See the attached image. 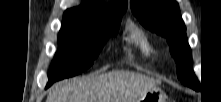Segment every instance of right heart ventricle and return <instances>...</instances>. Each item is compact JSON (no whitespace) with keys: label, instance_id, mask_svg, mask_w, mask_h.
I'll return each mask as SVG.
<instances>
[{"label":"right heart ventricle","instance_id":"obj_1","mask_svg":"<svg viewBox=\"0 0 221 102\" xmlns=\"http://www.w3.org/2000/svg\"><path fill=\"white\" fill-rule=\"evenodd\" d=\"M129 43L142 54L148 56L153 51V44L146 34L137 27H132L129 32Z\"/></svg>","mask_w":221,"mask_h":102}]
</instances>
